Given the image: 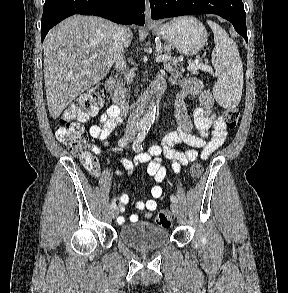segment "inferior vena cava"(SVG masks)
<instances>
[{"mask_svg":"<svg viewBox=\"0 0 288 293\" xmlns=\"http://www.w3.org/2000/svg\"><path fill=\"white\" fill-rule=\"evenodd\" d=\"M126 31L127 27L124 26H118L116 29L114 38V63L115 68L119 69L124 75V80L127 84H131L133 82V74L127 69V64L123 56ZM139 119L140 115L137 109H133L127 121L126 135L133 136L136 134Z\"/></svg>","mask_w":288,"mask_h":293,"instance_id":"1","label":"inferior vena cava"}]
</instances>
